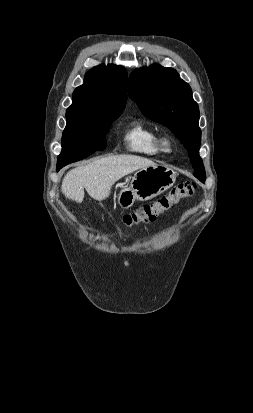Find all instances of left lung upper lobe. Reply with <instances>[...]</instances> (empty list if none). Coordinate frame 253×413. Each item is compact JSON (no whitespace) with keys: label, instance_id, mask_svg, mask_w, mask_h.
<instances>
[{"label":"left lung upper lobe","instance_id":"left-lung-upper-lobe-1","mask_svg":"<svg viewBox=\"0 0 253 413\" xmlns=\"http://www.w3.org/2000/svg\"><path fill=\"white\" fill-rule=\"evenodd\" d=\"M128 92L146 117L167 126L183 143L194 168L193 175L205 182L199 156V108L189 84L176 70L156 64L136 69L129 77Z\"/></svg>","mask_w":253,"mask_h":413}]
</instances>
